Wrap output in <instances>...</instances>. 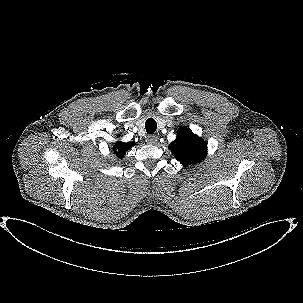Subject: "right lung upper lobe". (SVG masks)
<instances>
[{"label":"right lung upper lobe","instance_id":"right-lung-upper-lobe-1","mask_svg":"<svg viewBox=\"0 0 303 303\" xmlns=\"http://www.w3.org/2000/svg\"><path fill=\"white\" fill-rule=\"evenodd\" d=\"M133 145H134L133 142L125 143V142L119 141L113 147L114 154L118 158H122L126 154V151H128L130 149V147H132Z\"/></svg>","mask_w":303,"mask_h":303}]
</instances>
